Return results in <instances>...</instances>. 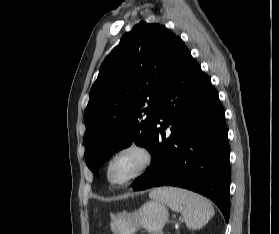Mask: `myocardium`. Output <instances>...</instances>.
I'll list each match as a JSON object with an SVG mask.
<instances>
[{
    "label": "myocardium",
    "mask_w": 279,
    "mask_h": 234,
    "mask_svg": "<svg viewBox=\"0 0 279 234\" xmlns=\"http://www.w3.org/2000/svg\"><path fill=\"white\" fill-rule=\"evenodd\" d=\"M127 154H133L137 156L139 159V163L137 167L134 169V171L130 175H128L125 179L121 181H115L111 177L112 166L118 159H120L121 157ZM152 162H153V154L147 146L139 142H130L128 144L123 145L112 154V156L110 157L106 165V170H105L106 178L108 182L116 188H122L128 186L133 181H135L140 176H142L152 165Z\"/></svg>",
    "instance_id": "myocardium-1"
}]
</instances>
